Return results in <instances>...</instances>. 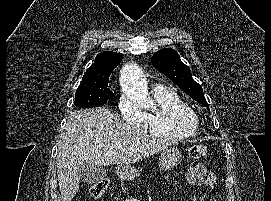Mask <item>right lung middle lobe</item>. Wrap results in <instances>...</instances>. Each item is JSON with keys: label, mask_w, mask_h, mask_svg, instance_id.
I'll return each mask as SVG.
<instances>
[{"label": "right lung middle lobe", "mask_w": 271, "mask_h": 201, "mask_svg": "<svg viewBox=\"0 0 271 201\" xmlns=\"http://www.w3.org/2000/svg\"><path fill=\"white\" fill-rule=\"evenodd\" d=\"M109 76H96L82 78L76 90L74 104L79 108H92L102 106L113 97V92L108 88Z\"/></svg>", "instance_id": "right-lung-middle-lobe-1"}]
</instances>
